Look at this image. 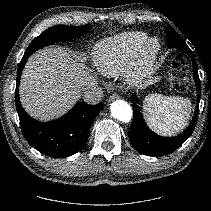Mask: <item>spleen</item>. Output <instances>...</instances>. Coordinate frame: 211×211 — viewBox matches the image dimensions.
<instances>
[{"label": "spleen", "mask_w": 211, "mask_h": 211, "mask_svg": "<svg viewBox=\"0 0 211 211\" xmlns=\"http://www.w3.org/2000/svg\"><path fill=\"white\" fill-rule=\"evenodd\" d=\"M191 102L187 98L151 94L143 102V113L150 128L162 135L182 131L190 116Z\"/></svg>", "instance_id": "spleen-1"}]
</instances>
